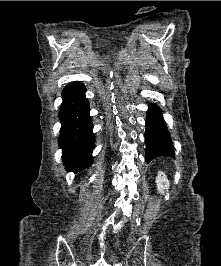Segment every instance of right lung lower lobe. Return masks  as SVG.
Here are the masks:
<instances>
[{
    "label": "right lung lower lobe",
    "mask_w": 221,
    "mask_h": 266,
    "mask_svg": "<svg viewBox=\"0 0 221 266\" xmlns=\"http://www.w3.org/2000/svg\"><path fill=\"white\" fill-rule=\"evenodd\" d=\"M85 92L86 88L80 82L68 84L62 91L63 102L59 111L62 123L59 144L63 149V164L76 171L91 165L95 142Z\"/></svg>",
    "instance_id": "obj_1"
}]
</instances>
